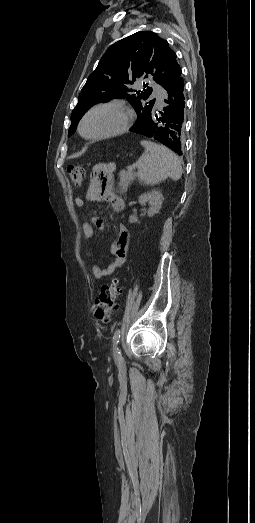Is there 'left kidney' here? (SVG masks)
<instances>
[{
    "label": "left kidney",
    "instance_id": "1",
    "mask_svg": "<svg viewBox=\"0 0 255 523\" xmlns=\"http://www.w3.org/2000/svg\"><path fill=\"white\" fill-rule=\"evenodd\" d=\"M139 204H146V202H149L151 208H149L147 214L148 216H154V214H157L161 208V204L163 202V196L159 190H152V192H149V194H143V196H139L138 200ZM129 222L133 224V222H138L137 216H129Z\"/></svg>",
    "mask_w": 255,
    "mask_h": 523
}]
</instances>
